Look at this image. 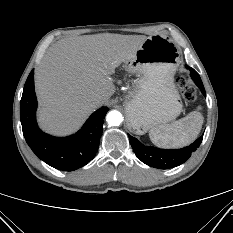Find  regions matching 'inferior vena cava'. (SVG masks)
Segmentation results:
<instances>
[{
	"label": "inferior vena cava",
	"mask_w": 233,
	"mask_h": 233,
	"mask_svg": "<svg viewBox=\"0 0 233 233\" xmlns=\"http://www.w3.org/2000/svg\"><path fill=\"white\" fill-rule=\"evenodd\" d=\"M102 98H103L102 95H96V97H95L96 100H100V99H102Z\"/></svg>",
	"instance_id": "inferior-vena-cava-1"
}]
</instances>
